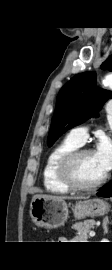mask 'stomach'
Wrapping results in <instances>:
<instances>
[{"label": "stomach", "instance_id": "1", "mask_svg": "<svg viewBox=\"0 0 112 270\" xmlns=\"http://www.w3.org/2000/svg\"><path fill=\"white\" fill-rule=\"evenodd\" d=\"M109 204L102 199L94 198L79 201L73 207L75 218L87 216H102L109 211ZM30 216L33 223L39 227L57 228L65 223L68 218L67 203L60 198H33L30 204Z\"/></svg>", "mask_w": 112, "mask_h": 270}]
</instances>
